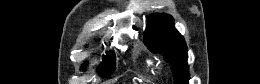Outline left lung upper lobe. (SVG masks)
I'll use <instances>...</instances> for the list:
<instances>
[{
  "mask_svg": "<svg viewBox=\"0 0 260 84\" xmlns=\"http://www.w3.org/2000/svg\"><path fill=\"white\" fill-rule=\"evenodd\" d=\"M173 22V18L168 14H152L144 33V42L152 52L163 53L164 59L172 65L175 84H187V47Z\"/></svg>",
  "mask_w": 260,
  "mask_h": 84,
  "instance_id": "obj_1",
  "label": "left lung upper lobe"
}]
</instances>
